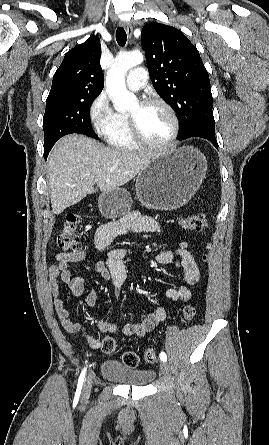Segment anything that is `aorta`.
I'll return each instance as SVG.
<instances>
[{
	"mask_svg": "<svg viewBox=\"0 0 269 445\" xmlns=\"http://www.w3.org/2000/svg\"><path fill=\"white\" fill-rule=\"evenodd\" d=\"M143 60V55L138 51L119 54L107 73V92L118 112L130 110L138 103L136 96L125 86V75L130 68L141 64Z\"/></svg>",
	"mask_w": 269,
	"mask_h": 445,
	"instance_id": "762f6f07",
	"label": "aorta"
}]
</instances>
